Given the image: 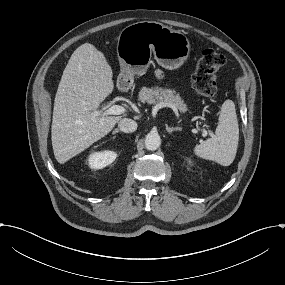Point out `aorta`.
Listing matches in <instances>:
<instances>
[{
	"mask_svg": "<svg viewBox=\"0 0 285 285\" xmlns=\"http://www.w3.org/2000/svg\"><path fill=\"white\" fill-rule=\"evenodd\" d=\"M161 145V138L158 133L150 132L145 137V147L148 150H157Z\"/></svg>",
	"mask_w": 285,
	"mask_h": 285,
	"instance_id": "1",
	"label": "aorta"
}]
</instances>
